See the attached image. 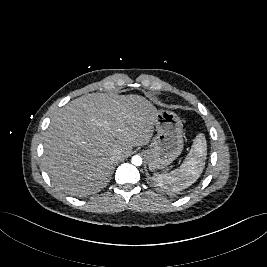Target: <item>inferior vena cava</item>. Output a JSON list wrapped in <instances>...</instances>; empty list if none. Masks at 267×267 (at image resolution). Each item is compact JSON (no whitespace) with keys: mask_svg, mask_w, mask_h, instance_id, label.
<instances>
[{"mask_svg":"<svg viewBox=\"0 0 267 267\" xmlns=\"http://www.w3.org/2000/svg\"><path fill=\"white\" fill-rule=\"evenodd\" d=\"M113 160H121V152L119 150H114L111 154Z\"/></svg>","mask_w":267,"mask_h":267,"instance_id":"obj_1","label":"inferior vena cava"}]
</instances>
